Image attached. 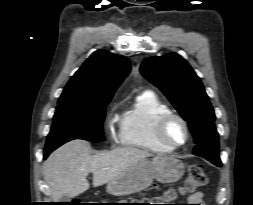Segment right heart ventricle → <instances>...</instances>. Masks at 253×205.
Segmentation results:
<instances>
[{"instance_id": "e07e8e85", "label": "right heart ventricle", "mask_w": 253, "mask_h": 205, "mask_svg": "<svg viewBox=\"0 0 253 205\" xmlns=\"http://www.w3.org/2000/svg\"><path fill=\"white\" fill-rule=\"evenodd\" d=\"M171 112L169 105L154 92L140 93L133 105L120 116V144L154 153L169 152L170 149L156 139L155 126L163 115Z\"/></svg>"}]
</instances>
